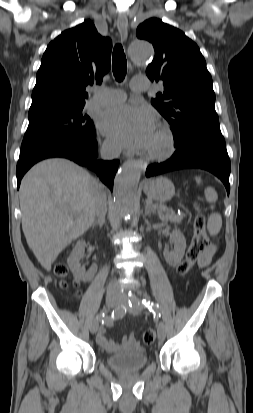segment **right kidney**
<instances>
[{
	"label": "right kidney",
	"instance_id": "ca27d5eb",
	"mask_svg": "<svg viewBox=\"0 0 253 413\" xmlns=\"http://www.w3.org/2000/svg\"><path fill=\"white\" fill-rule=\"evenodd\" d=\"M85 246L86 243L84 241L78 242L73 248L67 262L74 277L80 281L86 282L90 281L94 277L97 271V265H92L88 271H85L84 267L81 266L80 260L84 257Z\"/></svg>",
	"mask_w": 253,
	"mask_h": 413
}]
</instances>
